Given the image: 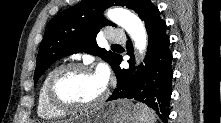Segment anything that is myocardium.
I'll return each mask as SVG.
<instances>
[{
    "mask_svg": "<svg viewBox=\"0 0 221 123\" xmlns=\"http://www.w3.org/2000/svg\"><path fill=\"white\" fill-rule=\"evenodd\" d=\"M72 70H82V71H88V72H94L93 68L85 63L81 62H69L63 65L58 66L55 68L48 79L47 82V97L50 103L56 107L59 110L65 111V112H74V111H88L93 110L101 106L108 96V87L106 83L104 84V89L101 93V95L93 102L91 103H74L69 102L61 98L57 92V82L58 79L66 72L72 71Z\"/></svg>",
    "mask_w": 221,
    "mask_h": 123,
    "instance_id": "obj_1",
    "label": "myocardium"
}]
</instances>
